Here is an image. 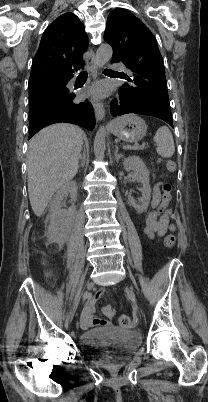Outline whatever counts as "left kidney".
I'll use <instances>...</instances> for the list:
<instances>
[{
	"label": "left kidney",
	"instance_id": "1",
	"mask_svg": "<svg viewBox=\"0 0 208 402\" xmlns=\"http://www.w3.org/2000/svg\"><path fill=\"white\" fill-rule=\"evenodd\" d=\"M123 166L126 172L133 170V176H131L132 180H136V182H141V184H143L142 188H140L142 198H138V202L134 200L133 196H128L130 206L135 208L137 214H143V212H146L151 200V188L149 184L150 172L138 156H129V158H125Z\"/></svg>",
	"mask_w": 208,
	"mask_h": 402
}]
</instances>
